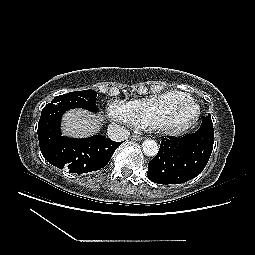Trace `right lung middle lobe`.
<instances>
[{
    "mask_svg": "<svg viewBox=\"0 0 255 255\" xmlns=\"http://www.w3.org/2000/svg\"><path fill=\"white\" fill-rule=\"evenodd\" d=\"M97 92L84 90L70 92L56 96L51 103L47 104L41 113L38 130L45 134V139L39 143L40 147H48L51 142V135L60 128V121L65 111L73 108H83L92 112L98 110L96 106Z\"/></svg>",
    "mask_w": 255,
    "mask_h": 255,
    "instance_id": "1",
    "label": "right lung middle lobe"
}]
</instances>
